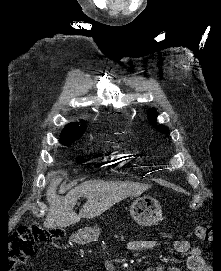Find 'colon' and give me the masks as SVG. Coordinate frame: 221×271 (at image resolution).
Wrapping results in <instances>:
<instances>
[{
  "instance_id": "colon-1",
  "label": "colon",
  "mask_w": 221,
  "mask_h": 271,
  "mask_svg": "<svg viewBox=\"0 0 221 271\" xmlns=\"http://www.w3.org/2000/svg\"><path fill=\"white\" fill-rule=\"evenodd\" d=\"M63 235L60 228L46 229L38 226L33 218L27 217L25 226H20L9 239V259L11 265L23 263L33 256L41 243L50 242ZM197 235L202 241L211 240L210 230L206 226H198Z\"/></svg>"
}]
</instances>
